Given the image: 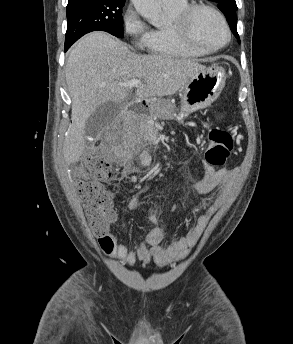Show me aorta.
<instances>
[{
	"label": "aorta",
	"mask_w": 293,
	"mask_h": 344,
	"mask_svg": "<svg viewBox=\"0 0 293 344\" xmlns=\"http://www.w3.org/2000/svg\"><path fill=\"white\" fill-rule=\"evenodd\" d=\"M136 11L153 26L163 23L164 15L158 0H132Z\"/></svg>",
	"instance_id": "762f6f07"
}]
</instances>
